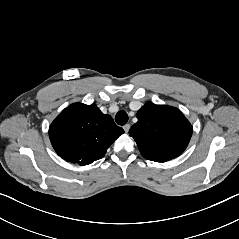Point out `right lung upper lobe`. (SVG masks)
<instances>
[{
  "mask_svg": "<svg viewBox=\"0 0 239 239\" xmlns=\"http://www.w3.org/2000/svg\"><path fill=\"white\" fill-rule=\"evenodd\" d=\"M124 130L95 105L75 103L49 127L53 148L64 160L87 165L102 158Z\"/></svg>",
  "mask_w": 239,
  "mask_h": 239,
  "instance_id": "1",
  "label": "right lung upper lobe"
}]
</instances>
